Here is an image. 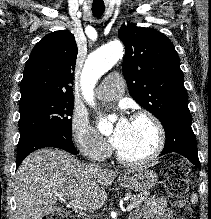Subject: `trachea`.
<instances>
[{"label": "trachea", "mask_w": 211, "mask_h": 219, "mask_svg": "<svg viewBox=\"0 0 211 219\" xmlns=\"http://www.w3.org/2000/svg\"><path fill=\"white\" fill-rule=\"evenodd\" d=\"M105 11L104 5L92 6V12L95 17H100Z\"/></svg>", "instance_id": "3493384b"}]
</instances>
